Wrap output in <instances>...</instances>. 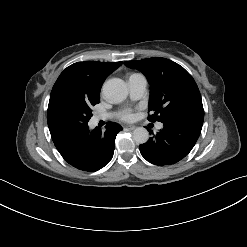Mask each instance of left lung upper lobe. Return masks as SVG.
Here are the masks:
<instances>
[{"instance_id":"5c2ea615","label":"left lung upper lobe","mask_w":247,"mask_h":247,"mask_svg":"<svg viewBox=\"0 0 247 247\" xmlns=\"http://www.w3.org/2000/svg\"><path fill=\"white\" fill-rule=\"evenodd\" d=\"M124 64L141 71L148 79V110L152 112L148 120L163 123L183 119L203 123L204 109L198 86L182 66L159 57Z\"/></svg>"}]
</instances>
